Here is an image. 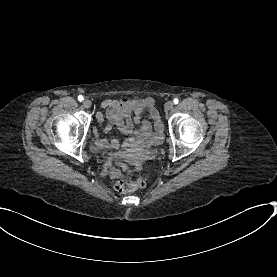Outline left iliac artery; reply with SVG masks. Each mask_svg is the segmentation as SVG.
I'll return each instance as SVG.
<instances>
[{
  "label": "left iliac artery",
  "instance_id": "1",
  "mask_svg": "<svg viewBox=\"0 0 277 277\" xmlns=\"http://www.w3.org/2000/svg\"><path fill=\"white\" fill-rule=\"evenodd\" d=\"M179 100L177 98L174 99V103L178 104Z\"/></svg>",
  "mask_w": 277,
  "mask_h": 277
}]
</instances>
